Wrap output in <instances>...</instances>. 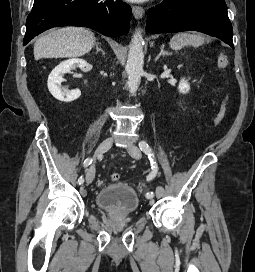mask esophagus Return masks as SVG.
Wrapping results in <instances>:
<instances>
[{"label":"esophagus","mask_w":255,"mask_h":272,"mask_svg":"<svg viewBox=\"0 0 255 272\" xmlns=\"http://www.w3.org/2000/svg\"><path fill=\"white\" fill-rule=\"evenodd\" d=\"M132 12L136 19H141L144 16L145 10L140 6H132Z\"/></svg>","instance_id":"34e87169"}]
</instances>
